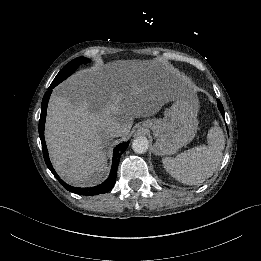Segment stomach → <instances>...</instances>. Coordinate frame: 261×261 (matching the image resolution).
I'll use <instances>...</instances> for the list:
<instances>
[{
    "label": "stomach",
    "instance_id": "1",
    "mask_svg": "<svg viewBox=\"0 0 261 261\" xmlns=\"http://www.w3.org/2000/svg\"><path fill=\"white\" fill-rule=\"evenodd\" d=\"M198 110L197 93L191 86H186L175 91L172 105L165 110L163 119H147L143 122V126L151 129L156 138L153 146L156 155L175 154L193 140L198 128Z\"/></svg>",
    "mask_w": 261,
    "mask_h": 261
}]
</instances>
